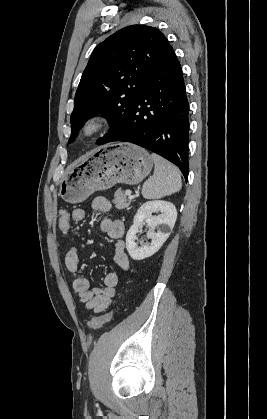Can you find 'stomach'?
<instances>
[{
  "label": "stomach",
  "mask_w": 267,
  "mask_h": 419,
  "mask_svg": "<svg viewBox=\"0 0 267 419\" xmlns=\"http://www.w3.org/2000/svg\"><path fill=\"white\" fill-rule=\"evenodd\" d=\"M149 152L130 143L102 146L71 166L59 184V196L69 203H80L93 192L117 183L135 185L152 170Z\"/></svg>",
  "instance_id": "obj_1"
}]
</instances>
